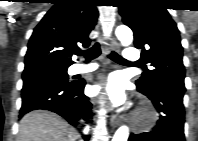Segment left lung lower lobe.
Wrapping results in <instances>:
<instances>
[{"label":"left lung lower lobe","mask_w":198,"mask_h":141,"mask_svg":"<svg viewBox=\"0 0 198 141\" xmlns=\"http://www.w3.org/2000/svg\"><path fill=\"white\" fill-rule=\"evenodd\" d=\"M159 113L157 126L148 133L132 134L129 141H184L185 86L161 83L150 92H144Z\"/></svg>","instance_id":"1"}]
</instances>
